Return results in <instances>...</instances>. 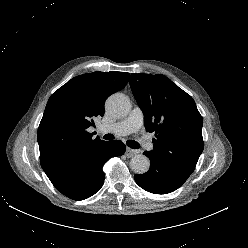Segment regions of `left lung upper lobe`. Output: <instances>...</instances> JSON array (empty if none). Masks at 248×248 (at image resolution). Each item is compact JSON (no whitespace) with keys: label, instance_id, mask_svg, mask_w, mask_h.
Here are the masks:
<instances>
[{"label":"left lung upper lobe","instance_id":"left-lung-upper-lobe-1","mask_svg":"<svg viewBox=\"0 0 248 248\" xmlns=\"http://www.w3.org/2000/svg\"><path fill=\"white\" fill-rule=\"evenodd\" d=\"M130 86L146 130L156 135L150 156L187 180L204 148L203 118L194 100L162 74L133 73Z\"/></svg>","mask_w":248,"mask_h":248}]
</instances>
